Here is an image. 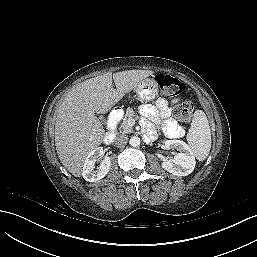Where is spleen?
Here are the masks:
<instances>
[{"instance_id":"1","label":"spleen","mask_w":257,"mask_h":257,"mask_svg":"<svg viewBox=\"0 0 257 257\" xmlns=\"http://www.w3.org/2000/svg\"><path fill=\"white\" fill-rule=\"evenodd\" d=\"M186 138L192 154L199 161L205 160L211 149V132L206 114L202 110L195 111Z\"/></svg>"}]
</instances>
